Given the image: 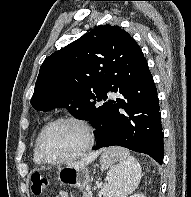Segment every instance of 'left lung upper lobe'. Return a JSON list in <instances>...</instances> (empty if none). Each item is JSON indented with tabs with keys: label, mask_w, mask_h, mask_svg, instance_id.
Returning a JSON list of instances; mask_svg holds the SVG:
<instances>
[{
	"label": "left lung upper lobe",
	"mask_w": 191,
	"mask_h": 197,
	"mask_svg": "<svg viewBox=\"0 0 191 197\" xmlns=\"http://www.w3.org/2000/svg\"><path fill=\"white\" fill-rule=\"evenodd\" d=\"M147 67L134 39L119 26L101 25L47 57L41 65L31 105L38 111L66 108L90 121L118 87L124 73Z\"/></svg>",
	"instance_id": "obj_1"
}]
</instances>
